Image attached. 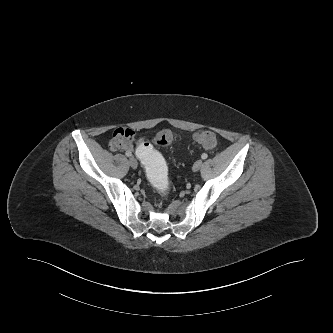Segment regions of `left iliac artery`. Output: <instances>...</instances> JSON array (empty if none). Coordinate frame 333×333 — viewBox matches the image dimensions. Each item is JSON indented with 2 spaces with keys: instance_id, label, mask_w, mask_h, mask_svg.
Wrapping results in <instances>:
<instances>
[{
  "instance_id": "left-iliac-artery-1",
  "label": "left iliac artery",
  "mask_w": 333,
  "mask_h": 333,
  "mask_svg": "<svg viewBox=\"0 0 333 333\" xmlns=\"http://www.w3.org/2000/svg\"><path fill=\"white\" fill-rule=\"evenodd\" d=\"M207 157H208V155L206 153H203L201 156L202 159H207Z\"/></svg>"
}]
</instances>
